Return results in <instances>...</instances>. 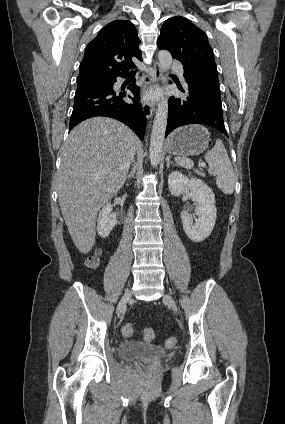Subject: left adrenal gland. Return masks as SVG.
Instances as JSON below:
<instances>
[{
    "instance_id": "left-adrenal-gland-1",
    "label": "left adrenal gland",
    "mask_w": 285,
    "mask_h": 424,
    "mask_svg": "<svg viewBox=\"0 0 285 424\" xmlns=\"http://www.w3.org/2000/svg\"><path fill=\"white\" fill-rule=\"evenodd\" d=\"M171 163L170 156H166V167L169 168Z\"/></svg>"
}]
</instances>
